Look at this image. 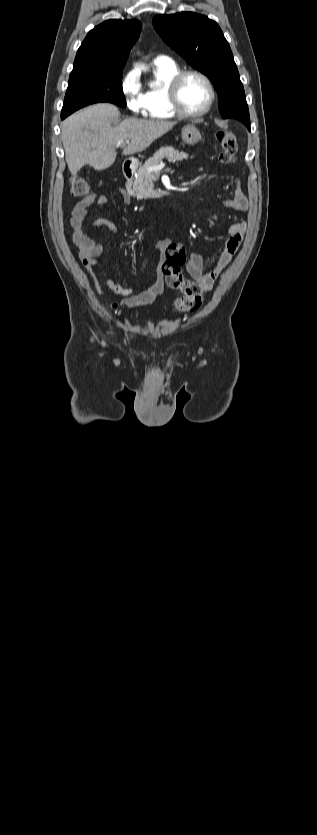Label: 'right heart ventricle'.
<instances>
[{
    "mask_svg": "<svg viewBox=\"0 0 317 835\" xmlns=\"http://www.w3.org/2000/svg\"><path fill=\"white\" fill-rule=\"evenodd\" d=\"M180 71V67L170 59L154 62V81L144 92L146 114L151 119L165 120L178 116L171 106L168 86Z\"/></svg>",
    "mask_w": 317,
    "mask_h": 835,
    "instance_id": "e07e8e85",
    "label": "right heart ventricle"
}]
</instances>
